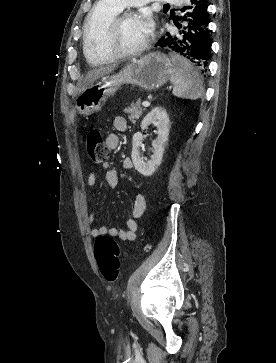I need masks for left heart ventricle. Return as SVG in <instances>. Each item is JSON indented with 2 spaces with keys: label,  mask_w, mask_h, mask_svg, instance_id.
Segmentation results:
<instances>
[{
  "label": "left heart ventricle",
  "mask_w": 276,
  "mask_h": 363,
  "mask_svg": "<svg viewBox=\"0 0 276 363\" xmlns=\"http://www.w3.org/2000/svg\"><path fill=\"white\" fill-rule=\"evenodd\" d=\"M148 37L140 24L139 18L136 16L126 18L119 29L116 38V45L125 50H130L138 47Z\"/></svg>",
  "instance_id": "obj_1"
}]
</instances>
